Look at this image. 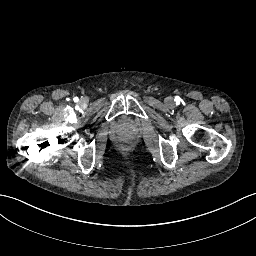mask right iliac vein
Wrapping results in <instances>:
<instances>
[{
  "label": "right iliac vein",
  "mask_w": 256,
  "mask_h": 256,
  "mask_svg": "<svg viewBox=\"0 0 256 256\" xmlns=\"http://www.w3.org/2000/svg\"><path fill=\"white\" fill-rule=\"evenodd\" d=\"M85 103H86L85 100H81V101H80V104H81V105H84Z\"/></svg>",
  "instance_id": "63e3f726"
}]
</instances>
